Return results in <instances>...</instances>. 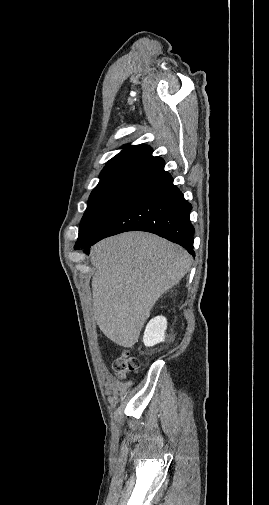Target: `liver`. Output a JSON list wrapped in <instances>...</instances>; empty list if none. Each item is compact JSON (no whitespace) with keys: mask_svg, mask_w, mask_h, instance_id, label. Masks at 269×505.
<instances>
[{"mask_svg":"<svg viewBox=\"0 0 269 505\" xmlns=\"http://www.w3.org/2000/svg\"><path fill=\"white\" fill-rule=\"evenodd\" d=\"M94 318L103 334L130 348L156 301L189 271L192 257L154 234L126 232L91 249Z\"/></svg>","mask_w":269,"mask_h":505,"instance_id":"1","label":"liver"}]
</instances>
